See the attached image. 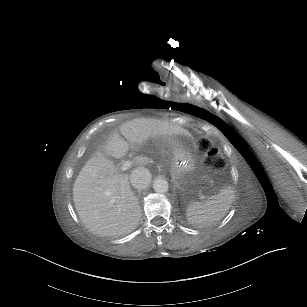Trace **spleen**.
I'll return each mask as SVG.
<instances>
[{
  "label": "spleen",
  "mask_w": 307,
  "mask_h": 307,
  "mask_svg": "<svg viewBox=\"0 0 307 307\" xmlns=\"http://www.w3.org/2000/svg\"><path fill=\"white\" fill-rule=\"evenodd\" d=\"M233 199V190L230 187L223 188L210 200L193 204L189 209V219L197 227H209L225 216Z\"/></svg>",
  "instance_id": "obj_1"
}]
</instances>
